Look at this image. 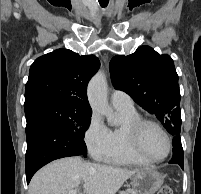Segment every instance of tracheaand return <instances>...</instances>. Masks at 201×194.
<instances>
[{
	"mask_svg": "<svg viewBox=\"0 0 201 194\" xmlns=\"http://www.w3.org/2000/svg\"><path fill=\"white\" fill-rule=\"evenodd\" d=\"M99 3L101 7H106L108 5V2H101V0H99Z\"/></svg>",
	"mask_w": 201,
	"mask_h": 194,
	"instance_id": "trachea-1",
	"label": "trachea"
}]
</instances>
